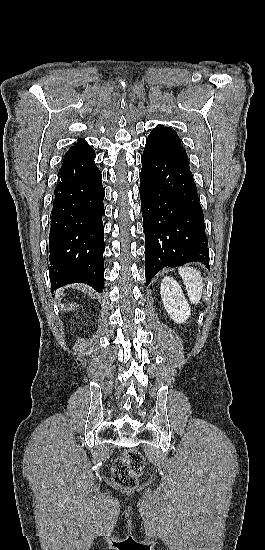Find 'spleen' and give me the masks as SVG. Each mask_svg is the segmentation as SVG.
I'll return each mask as SVG.
<instances>
[{"label": "spleen", "mask_w": 265, "mask_h": 550, "mask_svg": "<svg viewBox=\"0 0 265 550\" xmlns=\"http://www.w3.org/2000/svg\"><path fill=\"white\" fill-rule=\"evenodd\" d=\"M179 274L184 281L191 303H199L203 289L202 277L199 271L191 267H182L179 269Z\"/></svg>", "instance_id": "obj_1"}]
</instances>
